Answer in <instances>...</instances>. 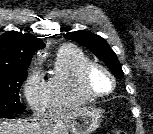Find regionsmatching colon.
Instances as JSON below:
<instances>
[{
    "instance_id": "1",
    "label": "colon",
    "mask_w": 153,
    "mask_h": 134,
    "mask_svg": "<svg viewBox=\"0 0 153 134\" xmlns=\"http://www.w3.org/2000/svg\"><path fill=\"white\" fill-rule=\"evenodd\" d=\"M113 134H125V133L122 132V131H117V132H115V133H113Z\"/></svg>"
}]
</instances>
